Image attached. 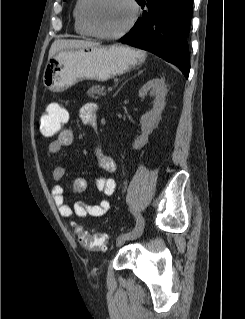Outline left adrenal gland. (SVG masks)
I'll return each instance as SVG.
<instances>
[{
    "instance_id": "1",
    "label": "left adrenal gland",
    "mask_w": 245,
    "mask_h": 319,
    "mask_svg": "<svg viewBox=\"0 0 245 319\" xmlns=\"http://www.w3.org/2000/svg\"><path fill=\"white\" fill-rule=\"evenodd\" d=\"M144 70H140L136 75H134L133 77H136L137 75H140L142 72H143ZM131 79V78H130ZM128 80H126L122 85H121V87L117 90V92L115 93V94H117L119 91H120V89L123 87V85L127 82Z\"/></svg>"
}]
</instances>
